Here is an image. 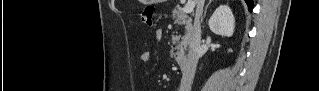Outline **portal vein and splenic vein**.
I'll return each instance as SVG.
<instances>
[{"label": "portal vein and splenic vein", "instance_id": "portal-vein-and-splenic-vein-1", "mask_svg": "<svg viewBox=\"0 0 319 91\" xmlns=\"http://www.w3.org/2000/svg\"><path fill=\"white\" fill-rule=\"evenodd\" d=\"M194 7H195L194 1L188 0V2L186 3V5H185L184 8H183V12H184L185 14H190V13L193 12Z\"/></svg>", "mask_w": 319, "mask_h": 91}]
</instances>
